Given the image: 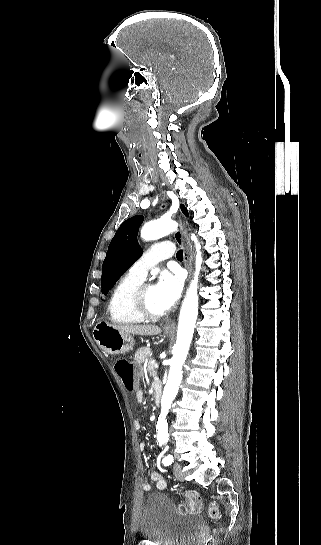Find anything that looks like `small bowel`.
<instances>
[{
  "label": "small bowel",
  "instance_id": "c3829d8e",
  "mask_svg": "<svg viewBox=\"0 0 321 545\" xmlns=\"http://www.w3.org/2000/svg\"><path fill=\"white\" fill-rule=\"evenodd\" d=\"M136 400L138 403H142L143 400H144V394L142 391H137L136 392ZM134 426L136 428V430H140L141 429V423L139 421H136L134 423ZM146 448V444L144 442H140L139 443V449L141 451H144ZM151 480L156 484L157 488L158 489H164L166 487V481L165 479L162 477V475L156 471L152 472L151 473ZM152 489V485L148 482L144 483L143 484V490L144 491H150Z\"/></svg>",
  "mask_w": 321,
  "mask_h": 545
}]
</instances>
